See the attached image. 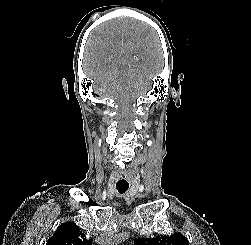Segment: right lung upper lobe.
Wrapping results in <instances>:
<instances>
[{
	"label": "right lung upper lobe",
	"mask_w": 251,
	"mask_h": 245,
	"mask_svg": "<svg viewBox=\"0 0 251 245\" xmlns=\"http://www.w3.org/2000/svg\"><path fill=\"white\" fill-rule=\"evenodd\" d=\"M46 245H92V240H87L75 223L65 222L58 227Z\"/></svg>",
	"instance_id": "cb5924a9"
}]
</instances>
